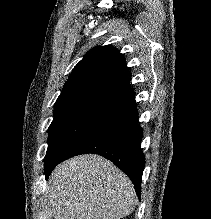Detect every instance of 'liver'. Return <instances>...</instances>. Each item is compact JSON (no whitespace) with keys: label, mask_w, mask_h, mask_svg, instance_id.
<instances>
[{"label":"liver","mask_w":211,"mask_h":219,"mask_svg":"<svg viewBox=\"0 0 211 219\" xmlns=\"http://www.w3.org/2000/svg\"><path fill=\"white\" fill-rule=\"evenodd\" d=\"M48 200L55 219H120L133 212L136 193L112 162L86 154L56 166Z\"/></svg>","instance_id":"liver-1"}]
</instances>
